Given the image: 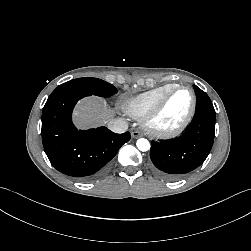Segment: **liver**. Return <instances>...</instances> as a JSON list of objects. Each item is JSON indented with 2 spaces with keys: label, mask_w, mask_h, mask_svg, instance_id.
Returning a JSON list of instances; mask_svg holds the SVG:
<instances>
[{
  "label": "liver",
  "mask_w": 251,
  "mask_h": 251,
  "mask_svg": "<svg viewBox=\"0 0 251 251\" xmlns=\"http://www.w3.org/2000/svg\"><path fill=\"white\" fill-rule=\"evenodd\" d=\"M113 110L109 109L104 100L92 97L78 103L74 111V120L81 128H89L100 124H110Z\"/></svg>",
  "instance_id": "6515ba94"
}]
</instances>
